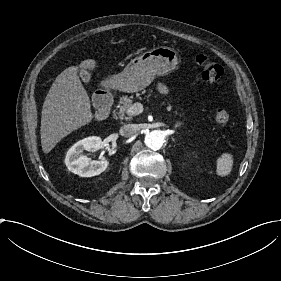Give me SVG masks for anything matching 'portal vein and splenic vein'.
<instances>
[{"label": "portal vein and splenic vein", "mask_w": 281, "mask_h": 281, "mask_svg": "<svg viewBox=\"0 0 281 281\" xmlns=\"http://www.w3.org/2000/svg\"><path fill=\"white\" fill-rule=\"evenodd\" d=\"M143 112V105L141 103H134L130 108L127 109L128 115H139Z\"/></svg>", "instance_id": "18ae733b"}]
</instances>
